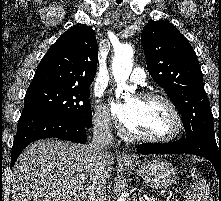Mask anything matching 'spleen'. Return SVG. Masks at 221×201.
<instances>
[{"label": "spleen", "instance_id": "obj_1", "mask_svg": "<svg viewBox=\"0 0 221 201\" xmlns=\"http://www.w3.org/2000/svg\"><path fill=\"white\" fill-rule=\"evenodd\" d=\"M193 185L186 191L184 201H212L206 179L195 169H191Z\"/></svg>", "mask_w": 221, "mask_h": 201}]
</instances>
